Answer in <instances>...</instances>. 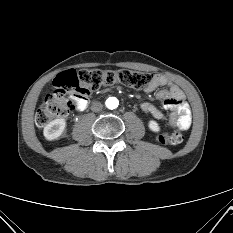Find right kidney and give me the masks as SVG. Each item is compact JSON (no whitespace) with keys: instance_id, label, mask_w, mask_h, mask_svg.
Here are the masks:
<instances>
[{"instance_id":"right-kidney-1","label":"right kidney","mask_w":233,"mask_h":233,"mask_svg":"<svg viewBox=\"0 0 233 233\" xmlns=\"http://www.w3.org/2000/svg\"><path fill=\"white\" fill-rule=\"evenodd\" d=\"M66 121L63 118L55 119L44 127L43 134L49 141L58 139L64 132Z\"/></svg>"}]
</instances>
